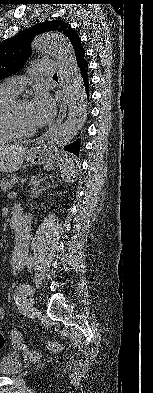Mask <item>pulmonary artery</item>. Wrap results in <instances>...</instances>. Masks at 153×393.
Wrapping results in <instances>:
<instances>
[{"instance_id":"pulmonary-artery-1","label":"pulmonary artery","mask_w":153,"mask_h":393,"mask_svg":"<svg viewBox=\"0 0 153 393\" xmlns=\"http://www.w3.org/2000/svg\"><path fill=\"white\" fill-rule=\"evenodd\" d=\"M35 72L43 73V74H51L52 71L55 69V64L50 60H41L33 67ZM31 78L29 77H14L8 79L3 84V87L6 89L11 90L12 92L19 94L26 84L27 80Z\"/></svg>"}]
</instances>
